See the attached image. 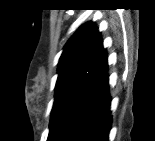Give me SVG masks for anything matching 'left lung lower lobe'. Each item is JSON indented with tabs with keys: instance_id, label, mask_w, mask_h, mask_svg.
I'll return each instance as SVG.
<instances>
[{
	"instance_id": "obj_1",
	"label": "left lung lower lobe",
	"mask_w": 155,
	"mask_h": 141,
	"mask_svg": "<svg viewBox=\"0 0 155 141\" xmlns=\"http://www.w3.org/2000/svg\"><path fill=\"white\" fill-rule=\"evenodd\" d=\"M108 57L66 114L58 140L108 141L111 129Z\"/></svg>"
}]
</instances>
